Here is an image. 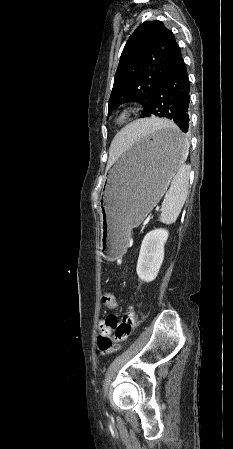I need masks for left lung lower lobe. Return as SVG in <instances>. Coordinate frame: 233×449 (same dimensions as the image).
I'll return each instance as SVG.
<instances>
[{"mask_svg":"<svg viewBox=\"0 0 233 449\" xmlns=\"http://www.w3.org/2000/svg\"><path fill=\"white\" fill-rule=\"evenodd\" d=\"M189 78L183 58L167 72L154 92L148 112L142 117H165L174 121L185 133L189 130ZM157 139L170 147H179L185 137L162 133Z\"/></svg>","mask_w":233,"mask_h":449,"instance_id":"left-lung-lower-lobe-1","label":"left lung lower lobe"}]
</instances>
